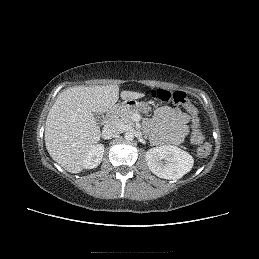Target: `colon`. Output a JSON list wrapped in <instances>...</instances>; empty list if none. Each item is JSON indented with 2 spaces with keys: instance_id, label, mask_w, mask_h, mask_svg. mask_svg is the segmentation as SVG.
Here are the masks:
<instances>
[{
  "instance_id": "5ec220e1",
  "label": "colon",
  "mask_w": 259,
  "mask_h": 259,
  "mask_svg": "<svg viewBox=\"0 0 259 259\" xmlns=\"http://www.w3.org/2000/svg\"><path fill=\"white\" fill-rule=\"evenodd\" d=\"M151 96L161 102H172L176 105H180L189 113L192 135L189 142L192 145L199 147L197 152L199 157H207L210 154L212 147L209 142L203 143L204 135L201 133L200 128L201 117L200 114L197 113L194 105L188 99L187 95L182 91H175L171 93L167 90L156 89L151 91Z\"/></svg>"
}]
</instances>
